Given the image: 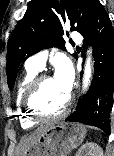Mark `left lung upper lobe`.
Segmentation results:
<instances>
[{"label": "left lung upper lobe", "instance_id": "5c2ea615", "mask_svg": "<svg viewBox=\"0 0 114 156\" xmlns=\"http://www.w3.org/2000/svg\"><path fill=\"white\" fill-rule=\"evenodd\" d=\"M97 2L98 0H31L8 42L6 72L9 88H13L17 72L29 56L43 48L65 49L61 35L64 33L66 13L71 30L82 33ZM75 22L77 27H74Z\"/></svg>", "mask_w": 114, "mask_h": 156}]
</instances>
